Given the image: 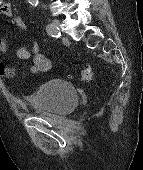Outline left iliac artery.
I'll return each instance as SVG.
<instances>
[{"label":"left iliac artery","instance_id":"left-iliac-artery-1","mask_svg":"<svg viewBox=\"0 0 143 170\" xmlns=\"http://www.w3.org/2000/svg\"><path fill=\"white\" fill-rule=\"evenodd\" d=\"M47 32L52 36V37H60L61 33L59 31V28L57 26H55L54 24H48L47 26Z\"/></svg>","mask_w":143,"mask_h":170}]
</instances>
